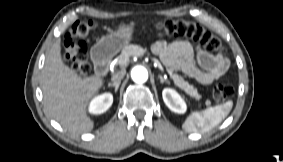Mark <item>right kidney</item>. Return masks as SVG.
<instances>
[{"instance_id":"1","label":"right kidney","mask_w":283,"mask_h":162,"mask_svg":"<svg viewBox=\"0 0 283 162\" xmlns=\"http://www.w3.org/2000/svg\"><path fill=\"white\" fill-rule=\"evenodd\" d=\"M113 103V96L110 93H104L95 97L89 105V112L92 114H102L106 112Z\"/></svg>"}]
</instances>
